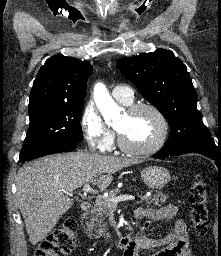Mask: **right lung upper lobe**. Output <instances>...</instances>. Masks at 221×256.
<instances>
[{"label":"right lung upper lobe","instance_id":"cb5924a9","mask_svg":"<svg viewBox=\"0 0 221 256\" xmlns=\"http://www.w3.org/2000/svg\"><path fill=\"white\" fill-rule=\"evenodd\" d=\"M92 69L89 62L74 57L53 56L47 59L33 82L29 110L84 102L87 79Z\"/></svg>","mask_w":221,"mask_h":256}]
</instances>
